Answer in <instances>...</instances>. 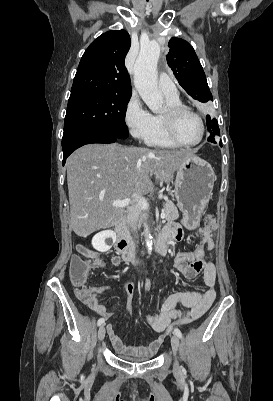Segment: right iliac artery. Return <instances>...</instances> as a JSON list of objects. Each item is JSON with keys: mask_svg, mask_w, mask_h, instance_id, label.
<instances>
[{"mask_svg": "<svg viewBox=\"0 0 273 401\" xmlns=\"http://www.w3.org/2000/svg\"><path fill=\"white\" fill-rule=\"evenodd\" d=\"M105 322L104 318H100L97 322V325L100 326Z\"/></svg>", "mask_w": 273, "mask_h": 401, "instance_id": "right-iliac-artery-1", "label": "right iliac artery"}]
</instances>
